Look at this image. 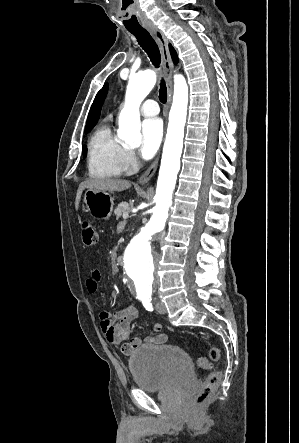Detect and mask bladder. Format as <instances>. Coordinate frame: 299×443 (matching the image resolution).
<instances>
[{
	"label": "bladder",
	"mask_w": 299,
	"mask_h": 443,
	"mask_svg": "<svg viewBox=\"0 0 299 443\" xmlns=\"http://www.w3.org/2000/svg\"><path fill=\"white\" fill-rule=\"evenodd\" d=\"M128 367L134 383L146 391L162 390L194 378L190 356L173 344L142 347L133 352Z\"/></svg>",
	"instance_id": "31cf9c89"
}]
</instances>
